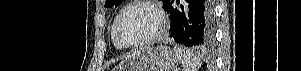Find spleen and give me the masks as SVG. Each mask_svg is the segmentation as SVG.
Returning <instances> with one entry per match:
<instances>
[{
    "label": "spleen",
    "instance_id": "spleen-1",
    "mask_svg": "<svg viewBox=\"0 0 301 71\" xmlns=\"http://www.w3.org/2000/svg\"><path fill=\"white\" fill-rule=\"evenodd\" d=\"M175 56L181 62L183 66V71H197L201 66V61L197 54L190 50L175 47L173 49Z\"/></svg>",
    "mask_w": 301,
    "mask_h": 71
}]
</instances>
